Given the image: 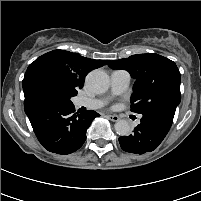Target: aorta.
<instances>
[{
    "mask_svg": "<svg viewBox=\"0 0 201 201\" xmlns=\"http://www.w3.org/2000/svg\"><path fill=\"white\" fill-rule=\"evenodd\" d=\"M87 86L95 93H104L109 87V77L103 70H93L86 77ZM131 125L127 120H119L115 124V131L120 136L131 133Z\"/></svg>",
    "mask_w": 201,
    "mask_h": 201,
    "instance_id": "1",
    "label": "aorta"
}]
</instances>
